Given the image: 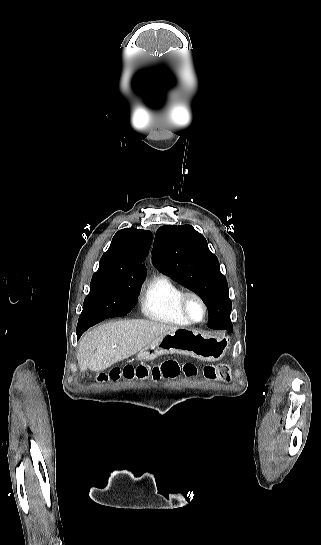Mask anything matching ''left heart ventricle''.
Here are the masks:
<instances>
[{"label": "left heart ventricle", "mask_w": 321, "mask_h": 545, "mask_svg": "<svg viewBox=\"0 0 321 545\" xmlns=\"http://www.w3.org/2000/svg\"><path fill=\"white\" fill-rule=\"evenodd\" d=\"M188 310L193 318L200 319L203 313L202 306L195 298H191L188 301Z\"/></svg>", "instance_id": "1"}]
</instances>
